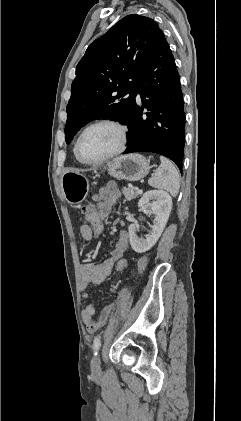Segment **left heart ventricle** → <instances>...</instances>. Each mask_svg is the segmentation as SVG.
Wrapping results in <instances>:
<instances>
[{"label": "left heart ventricle", "mask_w": 241, "mask_h": 421, "mask_svg": "<svg viewBox=\"0 0 241 421\" xmlns=\"http://www.w3.org/2000/svg\"><path fill=\"white\" fill-rule=\"evenodd\" d=\"M119 143V133L116 128L109 125H100L91 128L83 136L80 151L86 160H97L111 151Z\"/></svg>", "instance_id": "left-heart-ventricle-1"}]
</instances>
